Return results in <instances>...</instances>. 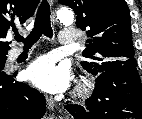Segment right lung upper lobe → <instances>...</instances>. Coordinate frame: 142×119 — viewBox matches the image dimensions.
I'll list each match as a JSON object with an SVG mask.
<instances>
[{
    "label": "right lung upper lobe",
    "mask_w": 142,
    "mask_h": 119,
    "mask_svg": "<svg viewBox=\"0 0 142 119\" xmlns=\"http://www.w3.org/2000/svg\"><path fill=\"white\" fill-rule=\"evenodd\" d=\"M39 3V0H0V54H8L9 42L5 40L9 30L30 18Z\"/></svg>",
    "instance_id": "obj_1"
}]
</instances>
